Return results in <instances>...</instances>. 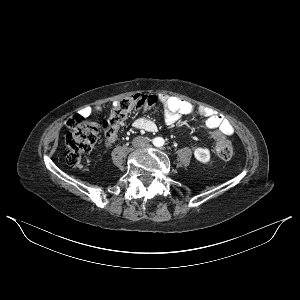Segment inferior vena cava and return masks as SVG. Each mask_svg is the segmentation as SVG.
Listing matches in <instances>:
<instances>
[{
  "mask_svg": "<svg viewBox=\"0 0 300 300\" xmlns=\"http://www.w3.org/2000/svg\"><path fill=\"white\" fill-rule=\"evenodd\" d=\"M148 143H149V139L143 136L135 137L132 141V144L135 147H145L148 145Z\"/></svg>",
  "mask_w": 300,
  "mask_h": 300,
  "instance_id": "obj_1",
  "label": "inferior vena cava"
}]
</instances>
